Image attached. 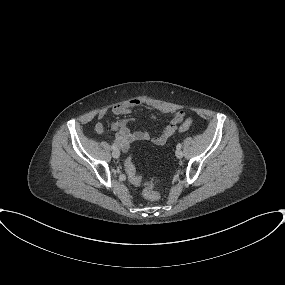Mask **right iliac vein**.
Instances as JSON below:
<instances>
[{
  "mask_svg": "<svg viewBox=\"0 0 285 285\" xmlns=\"http://www.w3.org/2000/svg\"><path fill=\"white\" fill-rule=\"evenodd\" d=\"M112 156L114 158H118L120 156V151L118 149L113 150Z\"/></svg>",
  "mask_w": 285,
  "mask_h": 285,
  "instance_id": "1",
  "label": "right iliac vein"
}]
</instances>
